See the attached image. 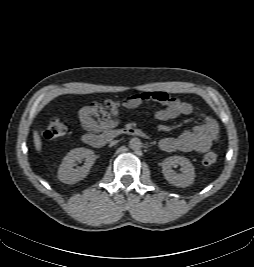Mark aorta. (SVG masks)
<instances>
[{"label":"aorta","mask_w":254,"mask_h":267,"mask_svg":"<svg viewBox=\"0 0 254 267\" xmlns=\"http://www.w3.org/2000/svg\"><path fill=\"white\" fill-rule=\"evenodd\" d=\"M141 146H142L141 140L137 137H134L129 141V147L132 150H139Z\"/></svg>","instance_id":"aorta-1"}]
</instances>
